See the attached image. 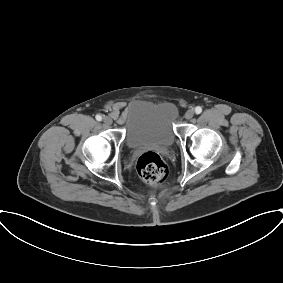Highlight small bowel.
<instances>
[{
	"mask_svg": "<svg viewBox=\"0 0 283 283\" xmlns=\"http://www.w3.org/2000/svg\"><path fill=\"white\" fill-rule=\"evenodd\" d=\"M127 115V108L123 103H117L111 108V116L118 123H124Z\"/></svg>",
	"mask_w": 283,
	"mask_h": 283,
	"instance_id": "1",
	"label": "small bowel"
}]
</instances>
